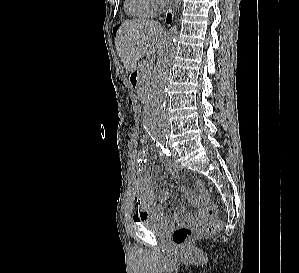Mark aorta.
Returning <instances> with one entry per match:
<instances>
[{"label":"aorta","instance_id":"1","mask_svg":"<svg viewBox=\"0 0 299 273\" xmlns=\"http://www.w3.org/2000/svg\"><path fill=\"white\" fill-rule=\"evenodd\" d=\"M177 26L170 28L154 70L143 123L153 140L164 142L169 132V121L165 110L166 85L171 74V65L176 54Z\"/></svg>","mask_w":299,"mask_h":273}]
</instances>
